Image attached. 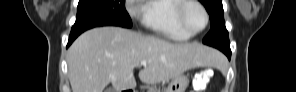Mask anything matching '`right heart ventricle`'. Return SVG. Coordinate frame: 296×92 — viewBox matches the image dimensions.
<instances>
[{
  "label": "right heart ventricle",
  "instance_id": "obj_1",
  "mask_svg": "<svg viewBox=\"0 0 296 92\" xmlns=\"http://www.w3.org/2000/svg\"><path fill=\"white\" fill-rule=\"evenodd\" d=\"M183 0H152L144 7L143 24L151 31L175 41L191 38L178 24L177 12Z\"/></svg>",
  "mask_w": 296,
  "mask_h": 92
}]
</instances>
